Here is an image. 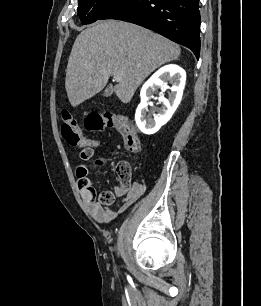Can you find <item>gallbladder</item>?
<instances>
[{
	"instance_id": "1",
	"label": "gallbladder",
	"mask_w": 261,
	"mask_h": 306,
	"mask_svg": "<svg viewBox=\"0 0 261 306\" xmlns=\"http://www.w3.org/2000/svg\"><path fill=\"white\" fill-rule=\"evenodd\" d=\"M112 93H113V88H112L111 86L107 87V88L104 90V96H105V97L111 96Z\"/></svg>"
}]
</instances>
